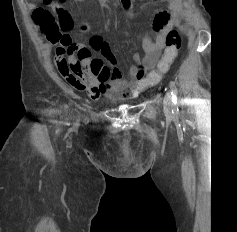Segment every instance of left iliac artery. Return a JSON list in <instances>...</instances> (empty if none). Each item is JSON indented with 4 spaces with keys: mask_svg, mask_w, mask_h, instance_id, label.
I'll return each mask as SVG.
<instances>
[{
    "mask_svg": "<svg viewBox=\"0 0 237 232\" xmlns=\"http://www.w3.org/2000/svg\"><path fill=\"white\" fill-rule=\"evenodd\" d=\"M170 91H171V95H172V101H173V106L174 109H178V90L176 88V85L174 82H170Z\"/></svg>",
    "mask_w": 237,
    "mask_h": 232,
    "instance_id": "left-iliac-artery-1",
    "label": "left iliac artery"
}]
</instances>
